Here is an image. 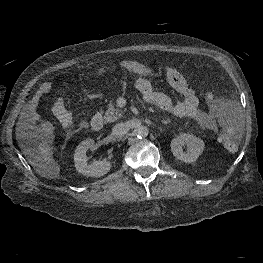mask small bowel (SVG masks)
<instances>
[{
    "mask_svg": "<svg viewBox=\"0 0 263 263\" xmlns=\"http://www.w3.org/2000/svg\"><path fill=\"white\" fill-rule=\"evenodd\" d=\"M105 70L106 68L100 69L98 73H103ZM155 70L165 75L169 84L182 96V99L177 102L172 101L169 96L157 91L146 78V75H139L135 81V86L141 92L145 102L155 104L160 109L169 111L176 116L192 118L206 129H216L217 124L213 112L211 110L205 111L201 108L199 96L175 68L169 65H158L155 67ZM51 87L50 82H45L39 87L26 108L27 114H32L39 99L48 93ZM55 103L64 106L62 98L59 97L53 104V111Z\"/></svg>",
    "mask_w": 263,
    "mask_h": 263,
    "instance_id": "obj_1",
    "label": "small bowel"
}]
</instances>
